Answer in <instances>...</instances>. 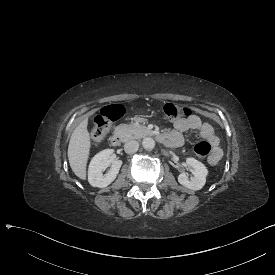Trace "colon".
Listing matches in <instances>:
<instances>
[{
    "label": "colon",
    "mask_w": 275,
    "mask_h": 275,
    "mask_svg": "<svg viewBox=\"0 0 275 275\" xmlns=\"http://www.w3.org/2000/svg\"><path fill=\"white\" fill-rule=\"evenodd\" d=\"M165 118L172 122L175 119H185L191 114V110L183 105H176L168 102L163 106ZM124 108L120 103L105 106L95 117L91 132V139L94 143H100L105 138L111 123L120 120L123 117ZM197 156L205 157L211 151V145L206 140L198 141L194 146Z\"/></svg>",
    "instance_id": "colon-1"
}]
</instances>
